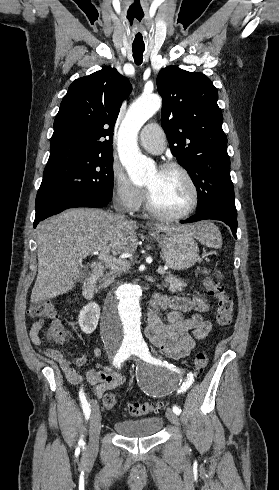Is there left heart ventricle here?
Returning <instances> with one entry per match:
<instances>
[{
    "instance_id": "obj_1",
    "label": "left heart ventricle",
    "mask_w": 279,
    "mask_h": 490,
    "mask_svg": "<svg viewBox=\"0 0 279 490\" xmlns=\"http://www.w3.org/2000/svg\"><path fill=\"white\" fill-rule=\"evenodd\" d=\"M147 185L154 204L165 213H178L191 200L187 181L175 171H155L149 177Z\"/></svg>"
}]
</instances>
